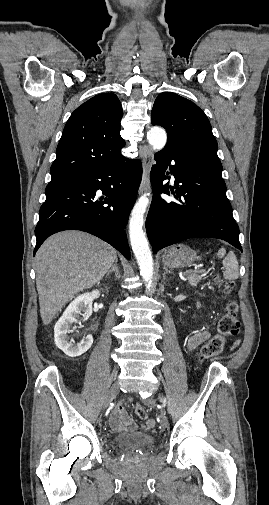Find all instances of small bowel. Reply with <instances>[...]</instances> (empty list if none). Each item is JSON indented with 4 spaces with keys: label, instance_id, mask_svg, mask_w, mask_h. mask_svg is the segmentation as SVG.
Masks as SVG:
<instances>
[{
    "label": "small bowel",
    "instance_id": "c3829d8e",
    "mask_svg": "<svg viewBox=\"0 0 269 505\" xmlns=\"http://www.w3.org/2000/svg\"><path fill=\"white\" fill-rule=\"evenodd\" d=\"M210 334L207 330L201 329L195 332L187 340V349L192 351L196 349L200 344L209 338ZM237 343H235L236 345ZM110 425L114 431H125L129 434H134L137 431V424L133 418L126 414L124 409V402H120L112 411L110 416ZM155 425L153 419H148L144 424L141 425L142 429H150Z\"/></svg>",
    "mask_w": 269,
    "mask_h": 505
}]
</instances>
